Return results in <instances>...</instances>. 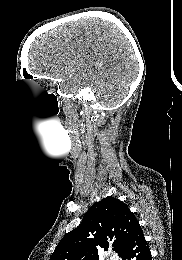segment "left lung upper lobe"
<instances>
[{"mask_svg":"<svg viewBox=\"0 0 182 260\" xmlns=\"http://www.w3.org/2000/svg\"><path fill=\"white\" fill-rule=\"evenodd\" d=\"M140 226L128 206L112 196L95 202L81 224L66 234L50 260H99L98 251L112 250L120 256L133 231Z\"/></svg>","mask_w":182,"mask_h":260,"instance_id":"5c2ea615","label":"left lung upper lobe"}]
</instances>
